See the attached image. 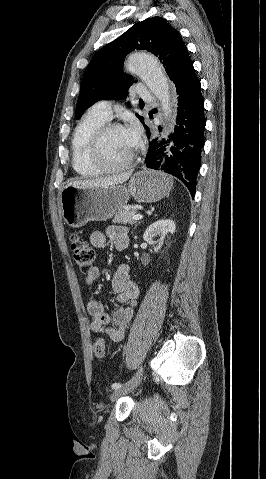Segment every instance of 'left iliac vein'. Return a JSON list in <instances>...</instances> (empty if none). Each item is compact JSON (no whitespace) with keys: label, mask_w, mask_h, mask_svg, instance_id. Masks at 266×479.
<instances>
[{"label":"left iliac vein","mask_w":266,"mask_h":479,"mask_svg":"<svg viewBox=\"0 0 266 479\" xmlns=\"http://www.w3.org/2000/svg\"><path fill=\"white\" fill-rule=\"evenodd\" d=\"M143 375V368L141 367L133 378L126 384L125 387L113 391L110 395V400L112 402L116 401L119 397L127 394L128 392L134 390L141 382Z\"/></svg>","instance_id":"obj_1"}]
</instances>
